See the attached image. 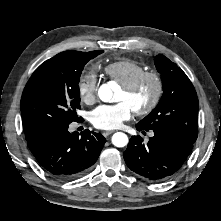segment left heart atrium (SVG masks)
I'll use <instances>...</instances> for the list:
<instances>
[{
  "label": "left heart atrium",
  "instance_id": "1",
  "mask_svg": "<svg viewBox=\"0 0 221 221\" xmlns=\"http://www.w3.org/2000/svg\"><path fill=\"white\" fill-rule=\"evenodd\" d=\"M134 110L124 101L117 104H103L90 113V121L94 127L102 130H113L129 120Z\"/></svg>",
  "mask_w": 221,
  "mask_h": 221
}]
</instances>
